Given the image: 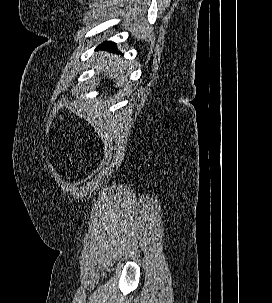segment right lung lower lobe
Returning <instances> with one entry per match:
<instances>
[{
    "instance_id": "obj_1",
    "label": "right lung lower lobe",
    "mask_w": 272,
    "mask_h": 303,
    "mask_svg": "<svg viewBox=\"0 0 272 303\" xmlns=\"http://www.w3.org/2000/svg\"><path fill=\"white\" fill-rule=\"evenodd\" d=\"M99 48H105V49H112V50H115L116 47H115V44L113 42H104L102 43Z\"/></svg>"
}]
</instances>
